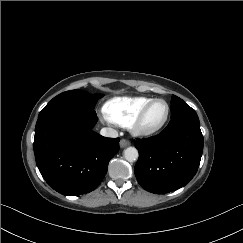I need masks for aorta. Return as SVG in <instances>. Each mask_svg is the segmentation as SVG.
Returning a JSON list of instances; mask_svg holds the SVG:
<instances>
[{"label":"aorta","mask_w":243,"mask_h":243,"mask_svg":"<svg viewBox=\"0 0 243 243\" xmlns=\"http://www.w3.org/2000/svg\"><path fill=\"white\" fill-rule=\"evenodd\" d=\"M138 156V150L135 147H128L124 150V157L129 162L136 161Z\"/></svg>","instance_id":"762f6f07"}]
</instances>
